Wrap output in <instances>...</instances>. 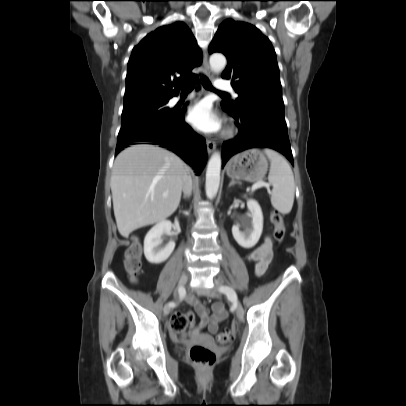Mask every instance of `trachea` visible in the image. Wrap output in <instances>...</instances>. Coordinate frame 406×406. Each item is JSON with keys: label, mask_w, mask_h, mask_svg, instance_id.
Returning a JSON list of instances; mask_svg holds the SVG:
<instances>
[{"label": "trachea", "mask_w": 406, "mask_h": 406, "mask_svg": "<svg viewBox=\"0 0 406 406\" xmlns=\"http://www.w3.org/2000/svg\"><path fill=\"white\" fill-rule=\"evenodd\" d=\"M195 82H196V79L194 78V79L182 84L181 85L182 92L192 91L194 89V87H195ZM201 82H202V85H203V87L205 89L212 90V91H215L217 93L227 95V93H225V92H220V91H217L216 89H214L211 82H210V80L207 77L202 76L201 77Z\"/></svg>", "instance_id": "obj_1"}]
</instances>
